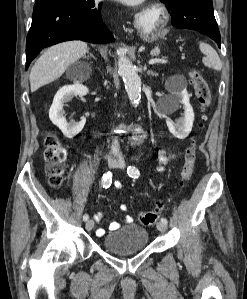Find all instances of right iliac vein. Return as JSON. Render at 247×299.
<instances>
[{"instance_id":"63e3f726","label":"right iliac vein","mask_w":247,"mask_h":299,"mask_svg":"<svg viewBox=\"0 0 247 299\" xmlns=\"http://www.w3.org/2000/svg\"><path fill=\"white\" fill-rule=\"evenodd\" d=\"M107 161H108L109 167H114L116 165L118 159H117V156H115V155H109L107 158ZM85 227L88 231L92 230L94 227V221L92 219L88 220L86 222Z\"/></svg>"}]
</instances>
